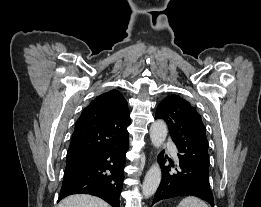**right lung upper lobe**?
<instances>
[{
	"mask_svg": "<svg viewBox=\"0 0 261 207\" xmlns=\"http://www.w3.org/2000/svg\"><path fill=\"white\" fill-rule=\"evenodd\" d=\"M129 124L128 104L119 91L111 90L98 96L76 122L66 161L127 143Z\"/></svg>",
	"mask_w": 261,
	"mask_h": 207,
	"instance_id": "1",
	"label": "right lung upper lobe"
}]
</instances>
